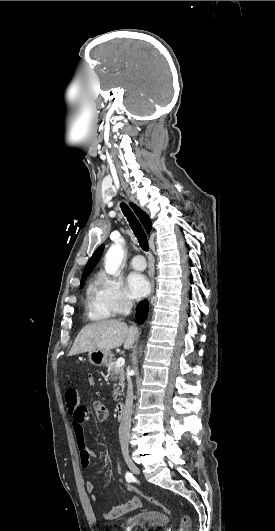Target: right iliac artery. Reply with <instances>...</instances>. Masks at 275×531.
I'll use <instances>...</instances> for the list:
<instances>
[{
    "label": "right iliac artery",
    "instance_id": "82829eb1",
    "mask_svg": "<svg viewBox=\"0 0 275 531\" xmlns=\"http://www.w3.org/2000/svg\"><path fill=\"white\" fill-rule=\"evenodd\" d=\"M125 479H126L127 482H134L135 481V477L130 472H127L125 474Z\"/></svg>",
    "mask_w": 275,
    "mask_h": 531
}]
</instances>
